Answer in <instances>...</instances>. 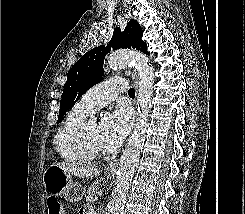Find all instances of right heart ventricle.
Here are the masks:
<instances>
[{"label":"right heart ventricle","mask_w":245,"mask_h":214,"mask_svg":"<svg viewBox=\"0 0 245 214\" xmlns=\"http://www.w3.org/2000/svg\"><path fill=\"white\" fill-rule=\"evenodd\" d=\"M91 112L77 103L65 116L53 140V146L58 155L66 162L80 163L84 159L75 148L74 137L79 126Z\"/></svg>","instance_id":"right-heart-ventricle-1"}]
</instances>
